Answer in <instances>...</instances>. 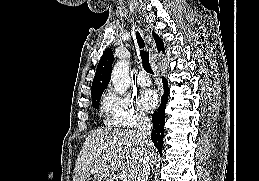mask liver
Segmentation results:
<instances>
[{"instance_id":"obj_1","label":"liver","mask_w":259,"mask_h":181,"mask_svg":"<svg viewBox=\"0 0 259 181\" xmlns=\"http://www.w3.org/2000/svg\"><path fill=\"white\" fill-rule=\"evenodd\" d=\"M143 144L138 131L105 128L93 131L83 144L75 163L73 181H85L91 174L110 177L118 169L136 181L143 161ZM151 143V162L155 156Z\"/></svg>"}]
</instances>
